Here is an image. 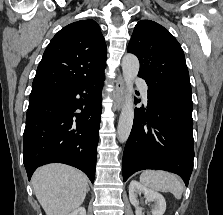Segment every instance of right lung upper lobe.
I'll list each match as a JSON object with an SVG mask.
<instances>
[{
  "label": "right lung upper lobe",
  "mask_w": 223,
  "mask_h": 215,
  "mask_svg": "<svg viewBox=\"0 0 223 215\" xmlns=\"http://www.w3.org/2000/svg\"><path fill=\"white\" fill-rule=\"evenodd\" d=\"M106 54L104 37L94 20L65 26L47 46L30 95H61L96 78L106 67Z\"/></svg>",
  "instance_id": "right-lung-upper-lobe-1"
}]
</instances>
